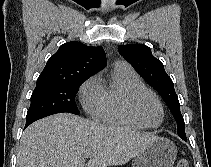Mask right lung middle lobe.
I'll return each instance as SVG.
<instances>
[{
  "instance_id": "right-lung-middle-lobe-1",
  "label": "right lung middle lobe",
  "mask_w": 211,
  "mask_h": 167,
  "mask_svg": "<svg viewBox=\"0 0 211 167\" xmlns=\"http://www.w3.org/2000/svg\"><path fill=\"white\" fill-rule=\"evenodd\" d=\"M77 79L66 83L37 84L31 96V105L26 116V124L43 117L68 112L78 115L75 96L83 81Z\"/></svg>"
}]
</instances>
